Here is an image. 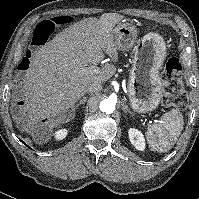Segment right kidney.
I'll use <instances>...</instances> for the list:
<instances>
[{"label": "right kidney", "instance_id": "1", "mask_svg": "<svg viewBox=\"0 0 199 199\" xmlns=\"http://www.w3.org/2000/svg\"><path fill=\"white\" fill-rule=\"evenodd\" d=\"M66 135H67V130L66 129H60V130H58V131H56L54 133V136H55L56 140H62V139H64L66 137Z\"/></svg>", "mask_w": 199, "mask_h": 199}]
</instances>
